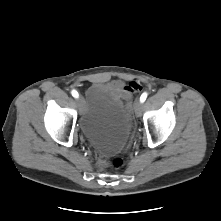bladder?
<instances>
[{
	"mask_svg": "<svg viewBox=\"0 0 221 221\" xmlns=\"http://www.w3.org/2000/svg\"><path fill=\"white\" fill-rule=\"evenodd\" d=\"M80 130L102 154H117L126 146L132 132L130 109L110 87L93 82L83 98Z\"/></svg>",
	"mask_w": 221,
	"mask_h": 221,
	"instance_id": "obj_1",
	"label": "bladder"
}]
</instances>
